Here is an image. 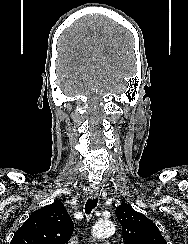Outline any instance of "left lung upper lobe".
Wrapping results in <instances>:
<instances>
[{
  "label": "left lung upper lobe",
  "mask_w": 188,
  "mask_h": 244,
  "mask_svg": "<svg viewBox=\"0 0 188 244\" xmlns=\"http://www.w3.org/2000/svg\"><path fill=\"white\" fill-rule=\"evenodd\" d=\"M115 212L122 226L125 244H167L155 223L129 204L122 203Z\"/></svg>",
  "instance_id": "left-lung-upper-lobe-1"
}]
</instances>
